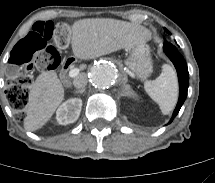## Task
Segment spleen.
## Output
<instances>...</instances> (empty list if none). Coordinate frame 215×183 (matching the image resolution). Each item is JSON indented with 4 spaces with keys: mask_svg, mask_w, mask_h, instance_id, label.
<instances>
[{
    "mask_svg": "<svg viewBox=\"0 0 215 183\" xmlns=\"http://www.w3.org/2000/svg\"><path fill=\"white\" fill-rule=\"evenodd\" d=\"M144 88L163 114L173 110L178 98V81L172 66L164 65L162 73L155 80L145 81Z\"/></svg>",
    "mask_w": 215,
    "mask_h": 183,
    "instance_id": "spleen-1",
    "label": "spleen"
}]
</instances>
